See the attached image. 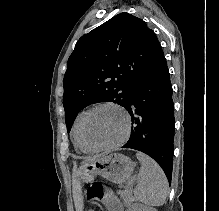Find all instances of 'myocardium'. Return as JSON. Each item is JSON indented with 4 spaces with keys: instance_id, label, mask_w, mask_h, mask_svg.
Masks as SVG:
<instances>
[{
    "instance_id": "myocardium-1",
    "label": "myocardium",
    "mask_w": 219,
    "mask_h": 211,
    "mask_svg": "<svg viewBox=\"0 0 219 211\" xmlns=\"http://www.w3.org/2000/svg\"><path fill=\"white\" fill-rule=\"evenodd\" d=\"M100 107H112V108L117 109L119 112H121L123 114L126 124H125V129H124L123 135L116 142H113L110 144H104V145H93L87 140V138L85 136V130H84L85 122H86V119L89 116V114L92 111H94L95 109L100 108ZM130 129H131V116H130L129 112L125 108L120 106L119 104L107 101V102L97 103L83 113L81 120H80V124H79V135H80L81 141L90 149H92V150H107V149H114V148L122 145L128 139L129 134H130Z\"/></svg>"
}]
</instances>
